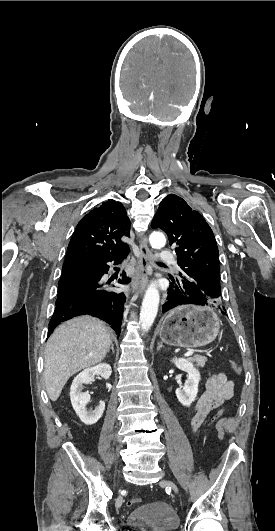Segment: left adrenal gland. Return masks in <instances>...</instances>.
<instances>
[{"label":"left adrenal gland","mask_w":275,"mask_h":531,"mask_svg":"<svg viewBox=\"0 0 275 531\" xmlns=\"http://www.w3.org/2000/svg\"><path fill=\"white\" fill-rule=\"evenodd\" d=\"M161 347H164L163 343H158L157 351H160Z\"/></svg>","instance_id":"a2214340"}]
</instances>
